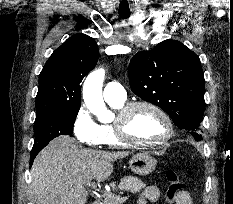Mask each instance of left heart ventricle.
Returning <instances> with one entry per match:
<instances>
[{
	"label": "left heart ventricle",
	"mask_w": 233,
	"mask_h": 204,
	"mask_svg": "<svg viewBox=\"0 0 233 204\" xmlns=\"http://www.w3.org/2000/svg\"><path fill=\"white\" fill-rule=\"evenodd\" d=\"M128 133L138 140L155 141L166 135L167 127L154 111L148 108H138L130 117Z\"/></svg>",
	"instance_id": "b2bd125f"
}]
</instances>
